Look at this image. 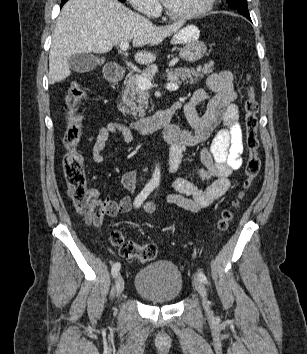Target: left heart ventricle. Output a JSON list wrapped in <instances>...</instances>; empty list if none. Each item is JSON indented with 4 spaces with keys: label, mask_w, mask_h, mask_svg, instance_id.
<instances>
[{
    "label": "left heart ventricle",
    "mask_w": 307,
    "mask_h": 354,
    "mask_svg": "<svg viewBox=\"0 0 307 354\" xmlns=\"http://www.w3.org/2000/svg\"><path fill=\"white\" fill-rule=\"evenodd\" d=\"M167 7L176 14H186L200 9L206 0H164Z\"/></svg>",
    "instance_id": "1"
}]
</instances>
